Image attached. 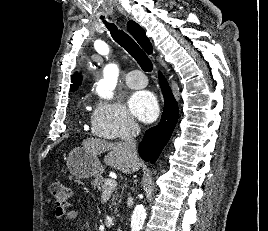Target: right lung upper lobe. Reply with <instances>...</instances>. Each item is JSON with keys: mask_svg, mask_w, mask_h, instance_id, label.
I'll use <instances>...</instances> for the list:
<instances>
[{"mask_svg": "<svg viewBox=\"0 0 268 231\" xmlns=\"http://www.w3.org/2000/svg\"><path fill=\"white\" fill-rule=\"evenodd\" d=\"M128 32L136 39V41L140 44V46L148 53H152V45L145 34V31L141 26H139L133 20H130L127 24ZM71 90L75 91L78 88V85L81 82V77L79 74H75L71 76Z\"/></svg>", "mask_w": 268, "mask_h": 231, "instance_id": "cb5924a9", "label": "right lung upper lobe"}]
</instances>
